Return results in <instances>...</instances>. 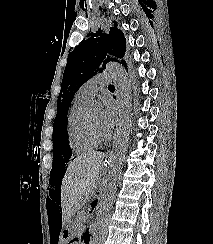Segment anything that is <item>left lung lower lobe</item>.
<instances>
[{"instance_id":"left-lung-lower-lobe-1","label":"left lung lower lobe","mask_w":213,"mask_h":244,"mask_svg":"<svg viewBox=\"0 0 213 244\" xmlns=\"http://www.w3.org/2000/svg\"><path fill=\"white\" fill-rule=\"evenodd\" d=\"M96 203H97V200H95V201L91 204L92 209L95 207Z\"/></svg>"}]
</instances>
